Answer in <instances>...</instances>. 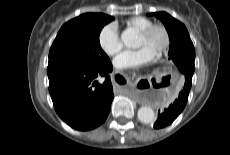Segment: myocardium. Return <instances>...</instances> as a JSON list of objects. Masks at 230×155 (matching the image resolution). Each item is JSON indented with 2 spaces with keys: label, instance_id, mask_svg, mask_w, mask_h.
I'll return each instance as SVG.
<instances>
[{
  "label": "myocardium",
  "instance_id": "1",
  "mask_svg": "<svg viewBox=\"0 0 230 155\" xmlns=\"http://www.w3.org/2000/svg\"><path fill=\"white\" fill-rule=\"evenodd\" d=\"M156 31H160L164 36V43L158 53L155 55V57L159 59L164 56L171 47L172 39L169 29L163 24H152L138 33L144 38H149Z\"/></svg>",
  "mask_w": 230,
  "mask_h": 155
}]
</instances>
